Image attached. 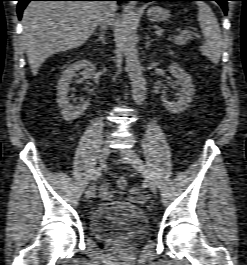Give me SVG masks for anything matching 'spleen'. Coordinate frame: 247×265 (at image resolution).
Masks as SVG:
<instances>
[{"instance_id":"obj_1","label":"spleen","mask_w":247,"mask_h":265,"mask_svg":"<svg viewBox=\"0 0 247 265\" xmlns=\"http://www.w3.org/2000/svg\"><path fill=\"white\" fill-rule=\"evenodd\" d=\"M199 7L198 21L205 41L200 51L213 63L218 64L222 49V35L219 23L211 8L203 1L197 2Z\"/></svg>"}]
</instances>
